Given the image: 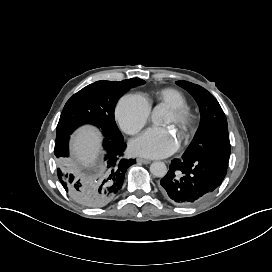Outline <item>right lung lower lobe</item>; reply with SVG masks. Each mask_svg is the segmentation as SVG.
<instances>
[{
  "mask_svg": "<svg viewBox=\"0 0 272 272\" xmlns=\"http://www.w3.org/2000/svg\"><path fill=\"white\" fill-rule=\"evenodd\" d=\"M68 141L69 136L56 141L54 149L58 163V179L65 191L87 207H101L110 203L119 194L127 169L136 163L135 159L123 157L126 149L123 137L111 140L105 136L103 142L105 173L93 179H81L72 173Z\"/></svg>",
  "mask_w": 272,
  "mask_h": 272,
  "instance_id": "1",
  "label": "right lung lower lobe"
}]
</instances>
